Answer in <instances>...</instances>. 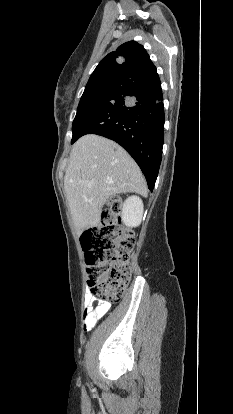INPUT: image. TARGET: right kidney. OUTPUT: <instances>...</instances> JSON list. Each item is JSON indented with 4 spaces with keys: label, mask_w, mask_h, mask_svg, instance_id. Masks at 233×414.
Instances as JSON below:
<instances>
[{
    "label": "right kidney",
    "mask_w": 233,
    "mask_h": 414,
    "mask_svg": "<svg viewBox=\"0 0 233 414\" xmlns=\"http://www.w3.org/2000/svg\"><path fill=\"white\" fill-rule=\"evenodd\" d=\"M143 216V202L137 196L128 197L122 208V220L128 227L140 225Z\"/></svg>",
    "instance_id": "obj_1"
}]
</instances>
